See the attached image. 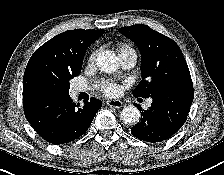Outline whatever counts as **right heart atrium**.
<instances>
[{"label":"right heart atrium","instance_id":"obj_1","mask_svg":"<svg viewBox=\"0 0 224 175\" xmlns=\"http://www.w3.org/2000/svg\"><path fill=\"white\" fill-rule=\"evenodd\" d=\"M96 55H97V52H96V51H93V52L90 54V56H89V58H88V63H89V64H93V63H94V61H95V59H96Z\"/></svg>","mask_w":224,"mask_h":175}]
</instances>
